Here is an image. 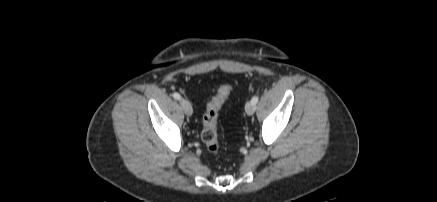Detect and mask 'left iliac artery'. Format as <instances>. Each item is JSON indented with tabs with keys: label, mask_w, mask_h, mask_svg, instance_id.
I'll list each match as a JSON object with an SVG mask.
<instances>
[{
	"label": "left iliac artery",
	"mask_w": 437,
	"mask_h": 202,
	"mask_svg": "<svg viewBox=\"0 0 437 202\" xmlns=\"http://www.w3.org/2000/svg\"><path fill=\"white\" fill-rule=\"evenodd\" d=\"M257 102H258V96H254V97L251 99V103L256 104Z\"/></svg>",
	"instance_id": "obj_1"
}]
</instances>
